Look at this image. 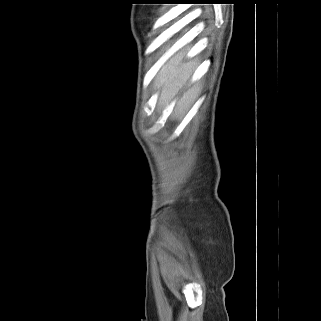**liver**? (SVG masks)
<instances>
[{"instance_id":"6515ba94","label":"liver","mask_w":321,"mask_h":321,"mask_svg":"<svg viewBox=\"0 0 321 321\" xmlns=\"http://www.w3.org/2000/svg\"><path fill=\"white\" fill-rule=\"evenodd\" d=\"M183 50L172 56L159 70L154 81L158 91V105L165 108L176 99L174 115L180 117L196 98L200 87L191 85L192 75L197 67V59H187Z\"/></svg>"}]
</instances>
